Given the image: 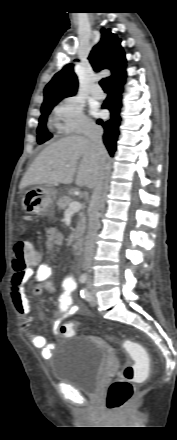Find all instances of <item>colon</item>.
<instances>
[{"instance_id":"colon-1","label":"colon","mask_w":177,"mask_h":440,"mask_svg":"<svg viewBox=\"0 0 177 440\" xmlns=\"http://www.w3.org/2000/svg\"><path fill=\"white\" fill-rule=\"evenodd\" d=\"M41 260V252L26 239H18L13 246V267L16 271H24ZM74 321L61 326V333L71 337L75 333ZM132 359L133 363L127 364L121 370L119 377L114 380L107 389L105 404L108 409L118 411L123 409L134 394L135 383L142 381L149 373V355L146 349L130 340L122 343Z\"/></svg>"}]
</instances>
